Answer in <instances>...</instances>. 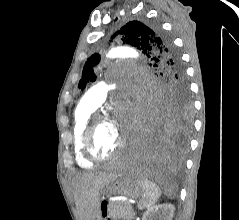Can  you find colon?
<instances>
[{
  "instance_id": "1",
  "label": "colon",
  "mask_w": 239,
  "mask_h": 220,
  "mask_svg": "<svg viewBox=\"0 0 239 220\" xmlns=\"http://www.w3.org/2000/svg\"><path fill=\"white\" fill-rule=\"evenodd\" d=\"M105 208H106L105 205H103V209H104V210H105Z\"/></svg>"
}]
</instances>
